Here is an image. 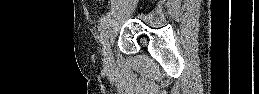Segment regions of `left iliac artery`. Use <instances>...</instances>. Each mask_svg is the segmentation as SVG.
Wrapping results in <instances>:
<instances>
[{
	"label": "left iliac artery",
	"mask_w": 259,
	"mask_h": 94,
	"mask_svg": "<svg viewBox=\"0 0 259 94\" xmlns=\"http://www.w3.org/2000/svg\"><path fill=\"white\" fill-rule=\"evenodd\" d=\"M112 14H113V11H110V12L106 13V15H105L103 18H101V21H100V30H101L100 36H101V41H102V39H103V36L105 35V30H106V28H107V23H108V21L110 20Z\"/></svg>",
	"instance_id": "44dca946"
}]
</instances>
